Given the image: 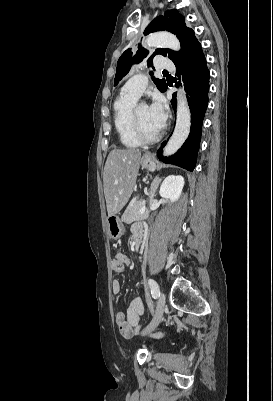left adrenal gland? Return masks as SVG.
Listing matches in <instances>:
<instances>
[{"label": "left adrenal gland", "mask_w": 273, "mask_h": 401, "mask_svg": "<svg viewBox=\"0 0 273 401\" xmlns=\"http://www.w3.org/2000/svg\"><path fill=\"white\" fill-rule=\"evenodd\" d=\"M162 178L160 176H155L151 182L149 194H150V203H152L154 196H156L157 188L161 182Z\"/></svg>", "instance_id": "1"}]
</instances>
